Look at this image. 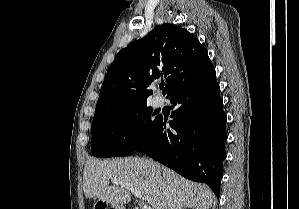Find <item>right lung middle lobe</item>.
I'll return each instance as SVG.
<instances>
[{"label": "right lung middle lobe", "instance_id": "dd1d6c3e", "mask_svg": "<svg viewBox=\"0 0 299 209\" xmlns=\"http://www.w3.org/2000/svg\"><path fill=\"white\" fill-rule=\"evenodd\" d=\"M155 115L147 103L95 115L91 127L92 155L100 158L131 155L156 123Z\"/></svg>", "mask_w": 299, "mask_h": 209}]
</instances>
